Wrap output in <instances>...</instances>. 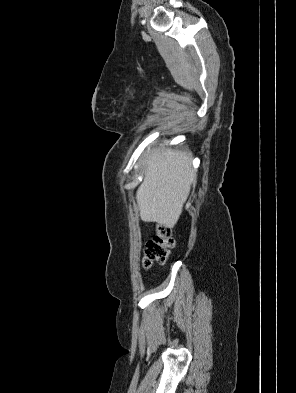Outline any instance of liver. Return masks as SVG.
I'll list each match as a JSON object with an SVG mask.
<instances>
[{"label":"liver","instance_id":"obj_1","mask_svg":"<svg viewBox=\"0 0 296 393\" xmlns=\"http://www.w3.org/2000/svg\"><path fill=\"white\" fill-rule=\"evenodd\" d=\"M191 163L192 156L184 151L162 148L144 155L145 177L136 193L143 221L168 228L177 224L191 185L196 183Z\"/></svg>","mask_w":296,"mask_h":393}]
</instances>
